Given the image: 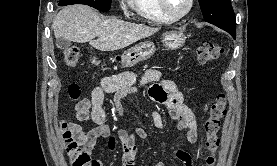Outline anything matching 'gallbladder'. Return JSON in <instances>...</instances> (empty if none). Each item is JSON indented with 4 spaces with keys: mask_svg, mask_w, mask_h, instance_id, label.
I'll use <instances>...</instances> for the list:
<instances>
[{
    "mask_svg": "<svg viewBox=\"0 0 277 166\" xmlns=\"http://www.w3.org/2000/svg\"><path fill=\"white\" fill-rule=\"evenodd\" d=\"M56 45L60 49H66L71 45V42L64 38L57 39Z\"/></svg>",
    "mask_w": 277,
    "mask_h": 166,
    "instance_id": "bac80fb5",
    "label": "gallbladder"
}]
</instances>
